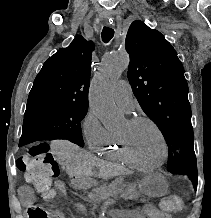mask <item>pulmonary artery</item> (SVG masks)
I'll return each instance as SVG.
<instances>
[{
  "instance_id": "pulmonary-artery-1",
  "label": "pulmonary artery",
  "mask_w": 211,
  "mask_h": 218,
  "mask_svg": "<svg viewBox=\"0 0 211 218\" xmlns=\"http://www.w3.org/2000/svg\"><path fill=\"white\" fill-rule=\"evenodd\" d=\"M114 97L116 102L126 112H131L133 109V92L131 87L127 85V80H122L116 83L114 87Z\"/></svg>"
}]
</instances>
